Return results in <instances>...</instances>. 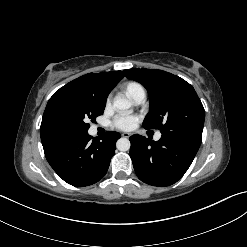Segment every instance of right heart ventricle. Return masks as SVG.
Masks as SVG:
<instances>
[{
  "label": "right heart ventricle",
  "instance_id": "e07e8e85",
  "mask_svg": "<svg viewBox=\"0 0 247 247\" xmlns=\"http://www.w3.org/2000/svg\"><path fill=\"white\" fill-rule=\"evenodd\" d=\"M141 90H144L143 87L137 82H128L125 85L126 94L133 99V97Z\"/></svg>",
  "mask_w": 247,
  "mask_h": 247
}]
</instances>
